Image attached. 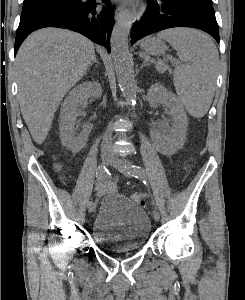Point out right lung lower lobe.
<instances>
[{
  "label": "right lung lower lobe",
  "mask_w": 245,
  "mask_h": 300,
  "mask_svg": "<svg viewBox=\"0 0 245 300\" xmlns=\"http://www.w3.org/2000/svg\"><path fill=\"white\" fill-rule=\"evenodd\" d=\"M97 8L96 0H86L81 5L67 6L20 20L16 32L15 54L24 39L33 31L44 27L73 30L88 37L110 52V35L114 25V11L109 0Z\"/></svg>",
  "instance_id": "98d812e1"
}]
</instances>
